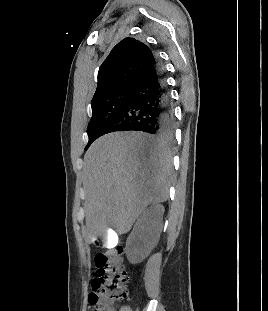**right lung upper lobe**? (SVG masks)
<instances>
[{"mask_svg": "<svg viewBox=\"0 0 268 311\" xmlns=\"http://www.w3.org/2000/svg\"><path fill=\"white\" fill-rule=\"evenodd\" d=\"M156 62L150 48L134 38L120 41L102 63L92 101L121 87L135 85Z\"/></svg>", "mask_w": 268, "mask_h": 311, "instance_id": "1", "label": "right lung upper lobe"}]
</instances>
